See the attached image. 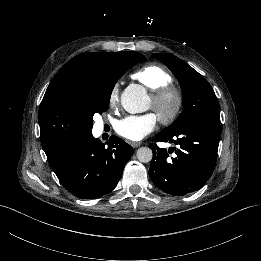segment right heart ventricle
<instances>
[{
	"instance_id": "e07e8e85",
	"label": "right heart ventricle",
	"mask_w": 261,
	"mask_h": 261,
	"mask_svg": "<svg viewBox=\"0 0 261 261\" xmlns=\"http://www.w3.org/2000/svg\"><path fill=\"white\" fill-rule=\"evenodd\" d=\"M134 77L151 92H155L172 81L170 74L157 64L143 66L135 73Z\"/></svg>"
}]
</instances>
